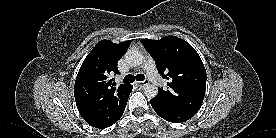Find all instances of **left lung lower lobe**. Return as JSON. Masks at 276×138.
<instances>
[{
	"instance_id": "obj_1",
	"label": "left lung lower lobe",
	"mask_w": 276,
	"mask_h": 138,
	"mask_svg": "<svg viewBox=\"0 0 276 138\" xmlns=\"http://www.w3.org/2000/svg\"><path fill=\"white\" fill-rule=\"evenodd\" d=\"M155 112L162 117L163 119L172 122V123H180L185 122L192 118L195 114L184 112L173 107H169L155 98L150 101Z\"/></svg>"
}]
</instances>
